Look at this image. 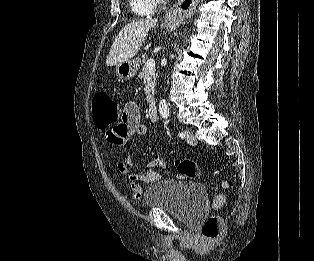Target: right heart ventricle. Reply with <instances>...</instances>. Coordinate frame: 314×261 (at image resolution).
Returning <instances> with one entry per match:
<instances>
[{
  "mask_svg": "<svg viewBox=\"0 0 314 261\" xmlns=\"http://www.w3.org/2000/svg\"><path fill=\"white\" fill-rule=\"evenodd\" d=\"M129 6L137 17L152 16L157 7L153 0H129Z\"/></svg>",
  "mask_w": 314,
  "mask_h": 261,
  "instance_id": "1",
  "label": "right heart ventricle"
}]
</instances>
